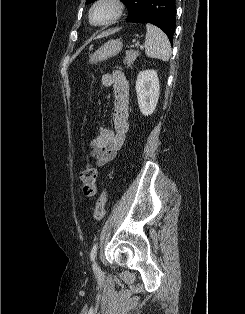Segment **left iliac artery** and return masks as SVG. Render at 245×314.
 I'll return each instance as SVG.
<instances>
[{
    "label": "left iliac artery",
    "instance_id": "44dca946",
    "mask_svg": "<svg viewBox=\"0 0 245 314\" xmlns=\"http://www.w3.org/2000/svg\"><path fill=\"white\" fill-rule=\"evenodd\" d=\"M97 248H98V244H94V246L92 247L91 253H90V258L91 260L94 262L96 255H97Z\"/></svg>",
    "mask_w": 245,
    "mask_h": 314
}]
</instances>
